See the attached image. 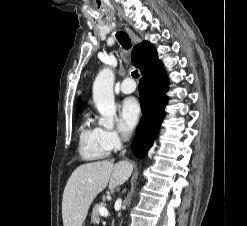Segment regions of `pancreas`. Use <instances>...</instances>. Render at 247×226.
<instances>
[{"label":"pancreas","mask_w":247,"mask_h":226,"mask_svg":"<svg viewBox=\"0 0 247 226\" xmlns=\"http://www.w3.org/2000/svg\"><path fill=\"white\" fill-rule=\"evenodd\" d=\"M104 207L103 203H98L93 207L92 215H91V221L94 224H99L100 223V213L99 209Z\"/></svg>","instance_id":"pancreas-1"}]
</instances>
